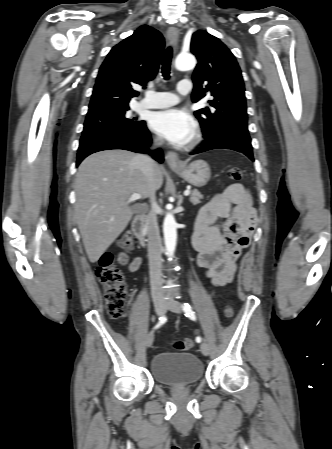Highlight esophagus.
<instances>
[{
    "instance_id": "obj_1",
    "label": "esophagus",
    "mask_w": 332,
    "mask_h": 449,
    "mask_svg": "<svg viewBox=\"0 0 332 449\" xmlns=\"http://www.w3.org/2000/svg\"><path fill=\"white\" fill-rule=\"evenodd\" d=\"M179 33L175 27H170L167 31V38L169 43L176 47L178 43ZM166 162L171 168L182 167V162L180 161L177 153L173 151H168L166 154Z\"/></svg>"
}]
</instances>
